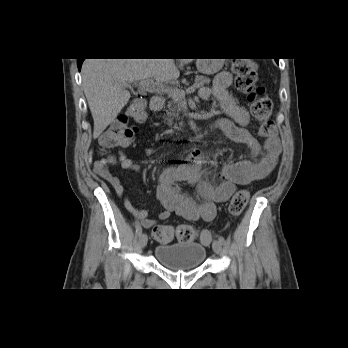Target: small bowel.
I'll return each instance as SVG.
<instances>
[{
  "label": "small bowel",
  "mask_w": 348,
  "mask_h": 348,
  "mask_svg": "<svg viewBox=\"0 0 348 348\" xmlns=\"http://www.w3.org/2000/svg\"><path fill=\"white\" fill-rule=\"evenodd\" d=\"M232 74L221 72L214 81L213 89L202 87L199 96L202 100H209L212 95L216 97L219 106L226 117L218 118L214 129L221 132L231 141L247 146L252 154L259 157V161L239 162L226 165L220 172L213 175L218 180L213 183L204 176L207 162L202 153L195 149L189 157V163L167 167L158 179L157 198L162 205L159 213L160 220L168 219L172 214H177L189 221H212L216 216V206L227 202L238 185H249L258 180H263L275 170L281 153V144L277 136H271L262 146L249 132L250 117L248 112L239 106L229 91L232 83ZM154 148L146 149L151 154ZM118 163L123 170L138 171L139 165L135 164L124 154L112 162L103 160L93 165L94 173L110 183L117 195L123 198L125 208L147 229L154 227L155 219L148 217V210L134 206L124 194V186L120 177L114 175L110 163ZM187 182L196 188L199 199L185 196L179 184Z\"/></svg>",
  "instance_id": "c3829d8e"
}]
</instances>
